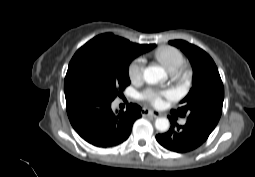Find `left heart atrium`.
<instances>
[{
  "instance_id": "left-heart-atrium-1",
  "label": "left heart atrium",
  "mask_w": 255,
  "mask_h": 177,
  "mask_svg": "<svg viewBox=\"0 0 255 177\" xmlns=\"http://www.w3.org/2000/svg\"><path fill=\"white\" fill-rule=\"evenodd\" d=\"M142 97L150 101L153 105L160 106L163 98L171 99L172 94L169 91H155L148 89L142 94Z\"/></svg>"
}]
</instances>
